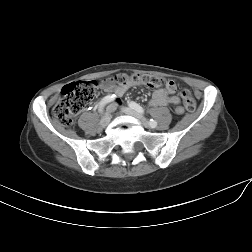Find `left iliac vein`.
<instances>
[{
    "mask_svg": "<svg viewBox=\"0 0 252 252\" xmlns=\"http://www.w3.org/2000/svg\"><path fill=\"white\" fill-rule=\"evenodd\" d=\"M110 108H114V105H111ZM122 111L127 115L135 117L143 125L148 126V121L146 120V118L143 117L140 113L136 112L135 110L128 107H123Z\"/></svg>",
    "mask_w": 252,
    "mask_h": 252,
    "instance_id": "obj_1",
    "label": "left iliac vein"
}]
</instances>
